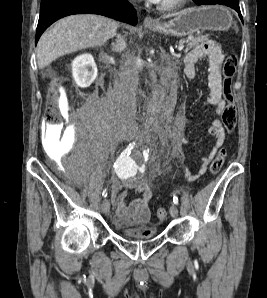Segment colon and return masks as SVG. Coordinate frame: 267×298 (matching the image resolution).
<instances>
[{"mask_svg":"<svg viewBox=\"0 0 267 298\" xmlns=\"http://www.w3.org/2000/svg\"><path fill=\"white\" fill-rule=\"evenodd\" d=\"M237 68V57L232 54L229 55L223 65V92L226 99L227 107L223 113V125L227 131H232L236 125V110L234 106L233 96L231 92V80L236 72ZM46 125L55 126L60 123V118L57 112V106L55 101H52L47 110ZM226 150L221 148L213 162L210 165L211 174L215 175L220 172L225 161ZM167 216V212L164 208H159L156 211V217L159 220H164Z\"/></svg>","mask_w":267,"mask_h":298,"instance_id":"obj_1","label":"colon"}]
</instances>
